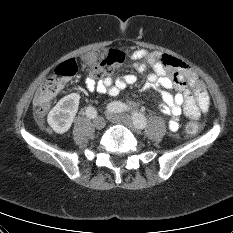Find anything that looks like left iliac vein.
<instances>
[{
    "mask_svg": "<svg viewBox=\"0 0 233 233\" xmlns=\"http://www.w3.org/2000/svg\"><path fill=\"white\" fill-rule=\"evenodd\" d=\"M106 117L108 120L115 124L124 125L132 131H138V128L135 126L132 119L127 114L107 112Z\"/></svg>",
    "mask_w": 233,
    "mask_h": 233,
    "instance_id": "1",
    "label": "left iliac vein"
}]
</instances>
